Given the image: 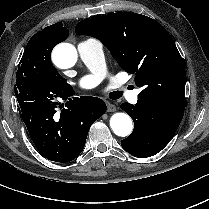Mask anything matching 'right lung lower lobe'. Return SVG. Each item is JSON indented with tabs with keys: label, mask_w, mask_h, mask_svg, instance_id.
Returning <instances> with one entry per match:
<instances>
[{
	"label": "right lung lower lobe",
	"mask_w": 209,
	"mask_h": 209,
	"mask_svg": "<svg viewBox=\"0 0 209 209\" xmlns=\"http://www.w3.org/2000/svg\"><path fill=\"white\" fill-rule=\"evenodd\" d=\"M15 94L22 119L39 153L66 163L83 150L92 123L106 112V104L91 96L71 97L73 88L60 89L29 79L16 81ZM68 100L58 108L59 99Z\"/></svg>",
	"instance_id": "98d812e1"
}]
</instances>
